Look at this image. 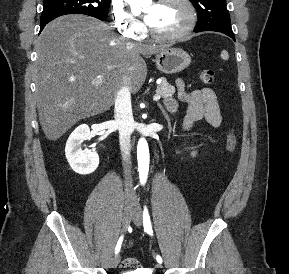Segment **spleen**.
Returning <instances> with one entry per match:
<instances>
[{
  "label": "spleen",
  "instance_id": "1",
  "mask_svg": "<svg viewBox=\"0 0 289 274\" xmlns=\"http://www.w3.org/2000/svg\"><path fill=\"white\" fill-rule=\"evenodd\" d=\"M221 57L224 59V60H227L228 59V53L227 52H222L221 53Z\"/></svg>",
  "mask_w": 289,
  "mask_h": 274
}]
</instances>
